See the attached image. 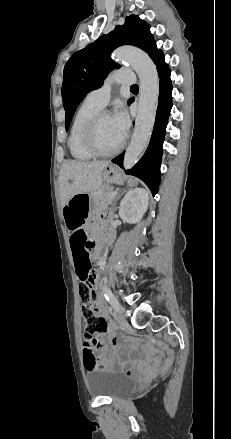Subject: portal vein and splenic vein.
Listing matches in <instances>:
<instances>
[{
  "mask_svg": "<svg viewBox=\"0 0 231 439\" xmlns=\"http://www.w3.org/2000/svg\"><path fill=\"white\" fill-rule=\"evenodd\" d=\"M116 195H117V192H116V191L110 193V196H112V197H114V196H116Z\"/></svg>",
  "mask_w": 231,
  "mask_h": 439,
  "instance_id": "1",
  "label": "portal vein and splenic vein"
}]
</instances>
